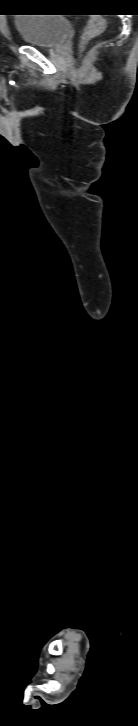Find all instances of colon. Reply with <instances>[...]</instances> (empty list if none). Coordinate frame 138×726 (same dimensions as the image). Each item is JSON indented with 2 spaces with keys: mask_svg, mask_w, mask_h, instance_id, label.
<instances>
[{
  "mask_svg": "<svg viewBox=\"0 0 138 726\" xmlns=\"http://www.w3.org/2000/svg\"><path fill=\"white\" fill-rule=\"evenodd\" d=\"M105 30V21L103 18L100 17H94L90 20L87 27L84 30V33L82 35L81 42L82 44L87 43L88 41L96 38L97 36L101 35Z\"/></svg>",
  "mask_w": 138,
  "mask_h": 726,
  "instance_id": "obj_1",
  "label": "colon"
}]
</instances>
